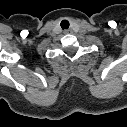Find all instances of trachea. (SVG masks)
Here are the masks:
<instances>
[{
  "mask_svg": "<svg viewBox=\"0 0 127 127\" xmlns=\"http://www.w3.org/2000/svg\"><path fill=\"white\" fill-rule=\"evenodd\" d=\"M69 21L68 20H62L60 23V26L62 29H68L69 28Z\"/></svg>",
  "mask_w": 127,
  "mask_h": 127,
  "instance_id": "3493384b",
  "label": "trachea"
}]
</instances>
